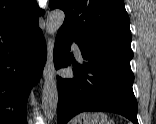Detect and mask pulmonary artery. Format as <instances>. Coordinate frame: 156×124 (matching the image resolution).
<instances>
[{"label": "pulmonary artery", "mask_w": 156, "mask_h": 124, "mask_svg": "<svg viewBox=\"0 0 156 124\" xmlns=\"http://www.w3.org/2000/svg\"><path fill=\"white\" fill-rule=\"evenodd\" d=\"M72 50H73V52H74L75 57H76L79 61H82V54H81V51H80V49H79V47H78L77 44H73V45H72Z\"/></svg>", "instance_id": "1"}]
</instances>
